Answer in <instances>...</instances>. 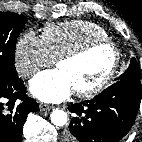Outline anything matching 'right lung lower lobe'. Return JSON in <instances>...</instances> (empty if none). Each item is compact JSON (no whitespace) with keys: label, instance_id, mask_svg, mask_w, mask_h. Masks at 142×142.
Wrapping results in <instances>:
<instances>
[{"label":"right lung lower lobe","instance_id":"98d812e1","mask_svg":"<svg viewBox=\"0 0 142 142\" xmlns=\"http://www.w3.org/2000/svg\"><path fill=\"white\" fill-rule=\"evenodd\" d=\"M38 110L39 104L27 97L22 79L0 81V142H21L27 115Z\"/></svg>","mask_w":142,"mask_h":142}]
</instances>
